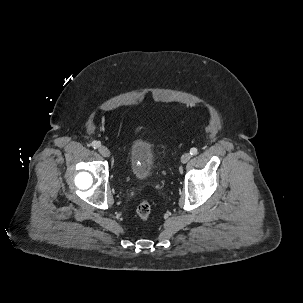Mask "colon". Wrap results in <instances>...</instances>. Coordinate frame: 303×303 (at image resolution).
Returning a JSON list of instances; mask_svg holds the SVG:
<instances>
[{
	"mask_svg": "<svg viewBox=\"0 0 303 303\" xmlns=\"http://www.w3.org/2000/svg\"><path fill=\"white\" fill-rule=\"evenodd\" d=\"M138 217L143 221H149L151 218V205L148 201H142L136 209Z\"/></svg>",
	"mask_w": 303,
	"mask_h": 303,
	"instance_id": "5ec220e1",
	"label": "colon"
}]
</instances>
